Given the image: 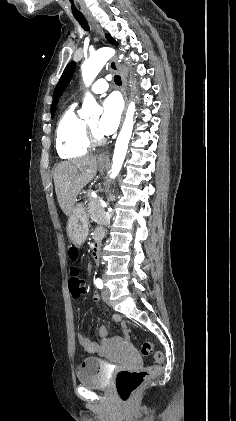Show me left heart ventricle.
I'll return each mask as SVG.
<instances>
[{
  "instance_id": "obj_1",
  "label": "left heart ventricle",
  "mask_w": 236,
  "mask_h": 421,
  "mask_svg": "<svg viewBox=\"0 0 236 421\" xmlns=\"http://www.w3.org/2000/svg\"><path fill=\"white\" fill-rule=\"evenodd\" d=\"M87 122L95 132L99 133V131H98V118L88 120Z\"/></svg>"
}]
</instances>
